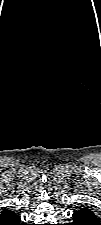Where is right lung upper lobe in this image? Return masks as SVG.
I'll return each instance as SVG.
<instances>
[{"label":"right lung upper lobe","mask_w":101,"mask_h":225,"mask_svg":"<svg viewBox=\"0 0 101 225\" xmlns=\"http://www.w3.org/2000/svg\"><path fill=\"white\" fill-rule=\"evenodd\" d=\"M18 220L19 216H17L13 211L4 209L1 213V225H14Z\"/></svg>","instance_id":"obj_1"}]
</instances>
